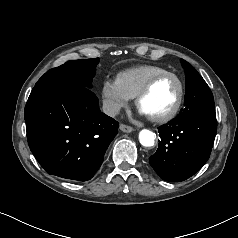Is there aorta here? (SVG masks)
<instances>
[{
  "label": "aorta",
  "instance_id": "762f6f07",
  "mask_svg": "<svg viewBox=\"0 0 238 238\" xmlns=\"http://www.w3.org/2000/svg\"><path fill=\"white\" fill-rule=\"evenodd\" d=\"M156 134L148 129L139 132V141L144 147H151L155 143Z\"/></svg>",
  "mask_w": 238,
  "mask_h": 238
}]
</instances>
